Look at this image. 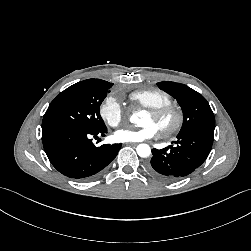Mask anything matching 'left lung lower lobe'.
Returning <instances> with one entry per match:
<instances>
[{
	"mask_svg": "<svg viewBox=\"0 0 251 251\" xmlns=\"http://www.w3.org/2000/svg\"><path fill=\"white\" fill-rule=\"evenodd\" d=\"M214 140V132L190 131L177 135L175 146L153 149V157L147 170L164 181H175L192 173L208 157Z\"/></svg>",
	"mask_w": 251,
	"mask_h": 251,
	"instance_id": "0a47b994",
	"label": "left lung lower lobe"
}]
</instances>
